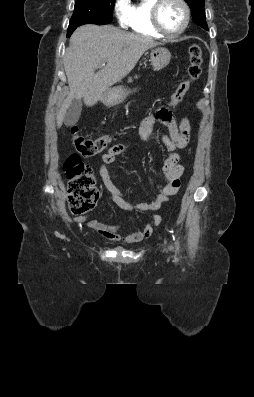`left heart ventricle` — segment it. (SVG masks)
I'll list each match as a JSON object with an SVG mask.
<instances>
[{"mask_svg":"<svg viewBox=\"0 0 254 397\" xmlns=\"http://www.w3.org/2000/svg\"><path fill=\"white\" fill-rule=\"evenodd\" d=\"M184 11L176 0H166L160 11V21L168 32H176L182 26Z\"/></svg>","mask_w":254,"mask_h":397,"instance_id":"b2bd125f","label":"left heart ventricle"}]
</instances>
